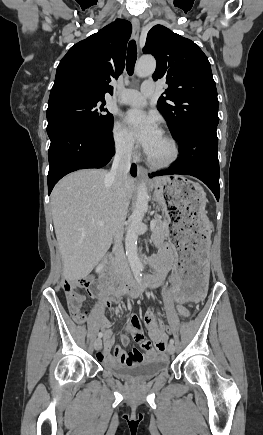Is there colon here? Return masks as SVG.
<instances>
[{
    "instance_id": "colon-1",
    "label": "colon",
    "mask_w": 263,
    "mask_h": 435,
    "mask_svg": "<svg viewBox=\"0 0 263 435\" xmlns=\"http://www.w3.org/2000/svg\"><path fill=\"white\" fill-rule=\"evenodd\" d=\"M63 288L72 317L75 321L81 323L85 318V313L83 311L84 295L80 291L86 290L91 295L95 292V288L90 286L89 282L85 279L65 281ZM170 329H172V324H166L165 332L168 335H172V330Z\"/></svg>"
}]
</instances>
